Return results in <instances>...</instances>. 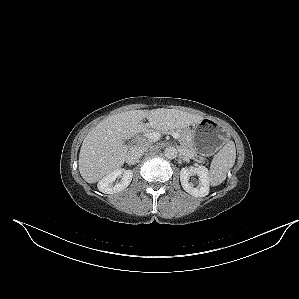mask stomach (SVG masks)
<instances>
[{
  "mask_svg": "<svg viewBox=\"0 0 299 299\" xmlns=\"http://www.w3.org/2000/svg\"><path fill=\"white\" fill-rule=\"evenodd\" d=\"M190 132L194 149L203 156L212 155L226 141L222 127L207 118L194 124Z\"/></svg>",
  "mask_w": 299,
  "mask_h": 299,
  "instance_id": "1",
  "label": "stomach"
}]
</instances>
